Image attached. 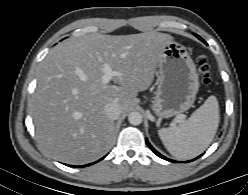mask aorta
<instances>
[{"mask_svg":"<svg viewBox=\"0 0 248 195\" xmlns=\"http://www.w3.org/2000/svg\"><path fill=\"white\" fill-rule=\"evenodd\" d=\"M128 121L132 125H139L142 122V115L139 112H131L128 116Z\"/></svg>","mask_w":248,"mask_h":195,"instance_id":"aorta-1","label":"aorta"}]
</instances>
